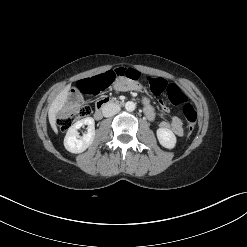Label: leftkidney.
Segmentation results:
<instances>
[{
  "label": "left kidney",
  "mask_w": 247,
  "mask_h": 247,
  "mask_svg": "<svg viewBox=\"0 0 247 247\" xmlns=\"http://www.w3.org/2000/svg\"><path fill=\"white\" fill-rule=\"evenodd\" d=\"M157 138L159 143L168 149H173L176 145V136L175 134L167 128H159L157 130Z\"/></svg>",
  "instance_id": "1"
}]
</instances>
